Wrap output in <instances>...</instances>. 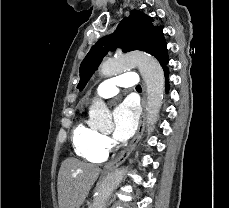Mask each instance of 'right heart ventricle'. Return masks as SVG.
I'll list each match as a JSON object with an SVG mask.
<instances>
[{"label": "right heart ventricle", "instance_id": "obj_1", "mask_svg": "<svg viewBox=\"0 0 229 208\" xmlns=\"http://www.w3.org/2000/svg\"><path fill=\"white\" fill-rule=\"evenodd\" d=\"M100 133L90 124L86 125L80 120L73 128L71 134V145L74 153L88 162L101 161L105 153L98 147Z\"/></svg>", "mask_w": 229, "mask_h": 208}]
</instances>
